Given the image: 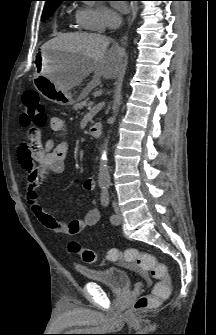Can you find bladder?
Listing matches in <instances>:
<instances>
[{
	"label": "bladder",
	"instance_id": "bladder-1",
	"mask_svg": "<svg viewBox=\"0 0 216 335\" xmlns=\"http://www.w3.org/2000/svg\"><path fill=\"white\" fill-rule=\"evenodd\" d=\"M87 280L101 283L113 291H126L131 288V274L115 267L101 269L77 268Z\"/></svg>",
	"mask_w": 216,
	"mask_h": 335
}]
</instances>
